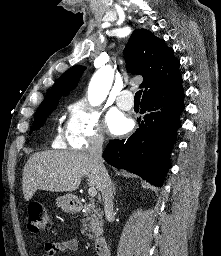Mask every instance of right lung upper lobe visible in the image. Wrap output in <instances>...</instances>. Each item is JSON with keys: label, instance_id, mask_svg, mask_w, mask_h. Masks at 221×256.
I'll return each instance as SVG.
<instances>
[{"label": "right lung upper lobe", "instance_id": "cb5924a9", "mask_svg": "<svg viewBox=\"0 0 221 256\" xmlns=\"http://www.w3.org/2000/svg\"><path fill=\"white\" fill-rule=\"evenodd\" d=\"M127 70L142 75L143 98L182 89L179 61L165 41L146 29H136L126 46ZM86 67L74 66L61 75L47 93L44 101L60 97L73 90ZM43 101V102H44Z\"/></svg>", "mask_w": 221, "mask_h": 256}]
</instances>
